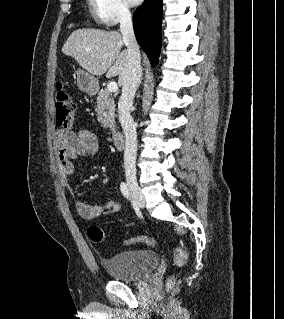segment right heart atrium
I'll use <instances>...</instances> for the list:
<instances>
[{
	"instance_id": "obj_1",
	"label": "right heart atrium",
	"mask_w": 284,
	"mask_h": 319,
	"mask_svg": "<svg viewBox=\"0 0 284 319\" xmlns=\"http://www.w3.org/2000/svg\"><path fill=\"white\" fill-rule=\"evenodd\" d=\"M95 18L105 26H114L131 17L125 0H92Z\"/></svg>"
}]
</instances>
